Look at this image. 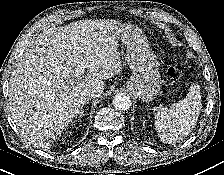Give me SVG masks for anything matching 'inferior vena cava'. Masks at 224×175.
Returning a JSON list of instances; mask_svg holds the SVG:
<instances>
[{
    "label": "inferior vena cava",
    "instance_id": "1",
    "mask_svg": "<svg viewBox=\"0 0 224 175\" xmlns=\"http://www.w3.org/2000/svg\"><path fill=\"white\" fill-rule=\"evenodd\" d=\"M96 96H97V93L95 90H85L81 93L80 101L82 103L89 102L91 98H94Z\"/></svg>",
    "mask_w": 224,
    "mask_h": 175
}]
</instances>
